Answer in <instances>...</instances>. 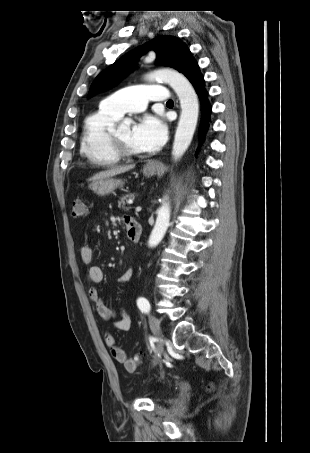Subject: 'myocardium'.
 <instances>
[{
    "instance_id": "1",
    "label": "myocardium",
    "mask_w": 310,
    "mask_h": 453,
    "mask_svg": "<svg viewBox=\"0 0 310 453\" xmlns=\"http://www.w3.org/2000/svg\"><path fill=\"white\" fill-rule=\"evenodd\" d=\"M108 143L112 151L120 159H135L142 156L141 153L133 152L132 150H130L117 136L115 129H112L110 131L108 136Z\"/></svg>"
}]
</instances>
